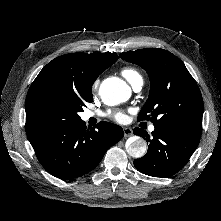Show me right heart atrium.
<instances>
[{
    "label": "right heart atrium",
    "mask_w": 221,
    "mask_h": 221,
    "mask_svg": "<svg viewBox=\"0 0 221 221\" xmlns=\"http://www.w3.org/2000/svg\"><path fill=\"white\" fill-rule=\"evenodd\" d=\"M97 85H98V81L96 80L94 83H93V89H95L96 87H97Z\"/></svg>",
    "instance_id": "d8ad5b80"
}]
</instances>
